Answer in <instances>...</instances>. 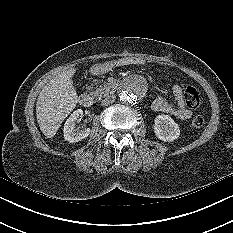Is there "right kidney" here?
Here are the masks:
<instances>
[{"instance_id": "obj_1", "label": "right kidney", "mask_w": 233, "mask_h": 233, "mask_svg": "<svg viewBox=\"0 0 233 233\" xmlns=\"http://www.w3.org/2000/svg\"><path fill=\"white\" fill-rule=\"evenodd\" d=\"M83 111L81 109L75 110L64 124V138L69 142H78L88 137L90 128L79 129L76 128V122L82 117Z\"/></svg>"}]
</instances>
